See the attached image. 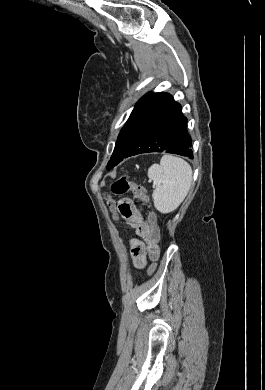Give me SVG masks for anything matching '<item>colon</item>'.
I'll list each match as a JSON object with an SVG mask.
<instances>
[{
	"label": "colon",
	"mask_w": 265,
	"mask_h": 390,
	"mask_svg": "<svg viewBox=\"0 0 265 390\" xmlns=\"http://www.w3.org/2000/svg\"><path fill=\"white\" fill-rule=\"evenodd\" d=\"M111 190L116 195H124L126 193H131L135 198L145 202L146 201V192L145 188L137 183H133L126 176H122L118 180H116L111 187ZM112 209H114L113 203H109ZM148 222L151 225V235L149 239L147 240V252L149 255V258L152 261V265L150 267V272H153L156 263L160 256V249H159V240H160V233L159 228L156 225V219L155 215L153 213L148 214Z\"/></svg>",
	"instance_id": "colon-1"
}]
</instances>
